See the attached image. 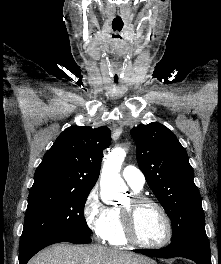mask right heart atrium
<instances>
[{
  "mask_svg": "<svg viewBox=\"0 0 221 264\" xmlns=\"http://www.w3.org/2000/svg\"><path fill=\"white\" fill-rule=\"evenodd\" d=\"M82 213L84 221L91 232L99 239H106L112 225L113 212L112 208L101 201L96 187L87 194Z\"/></svg>",
  "mask_w": 221,
  "mask_h": 264,
  "instance_id": "1",
  "label": "right heart atrium"
}]
</instances>
